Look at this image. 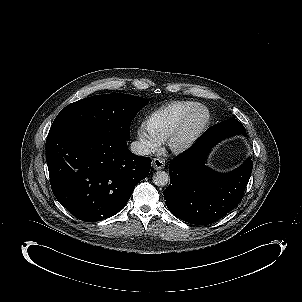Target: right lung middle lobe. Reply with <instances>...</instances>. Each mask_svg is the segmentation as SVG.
<instances>
[{"instance_id": "right-lung-middle-lobe-1", "label": "right lung middle lobe", "mask_w": 302, "mask_h": 302, "mask_svg": "<svg viewBox=\"0 0 302 302\" xmlns=\"http://www.w3.org/2000/svg\"><path fill=\"white\" fill-rule=\"evenodd\" d=\"M148 103L142 97L112 93L95 95L66 106L55 118L49 134L82 126L106 129L129 140L130 123Z\"/></svg>"}]
</instances>
